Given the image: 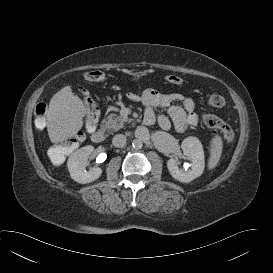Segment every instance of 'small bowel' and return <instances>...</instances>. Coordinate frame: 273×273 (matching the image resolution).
I'll use <instances>...</instances> for the list:
<instances>
[{"label":"small bowel","mask_w":273,"mask_h":273,"mask_svg":"<svg viewBox=\"0 0 273 273\" xmlns=\"http://www.w3.org/2000/svg\"><path fill=\"white\" fill-rule=\"evenodd\" d=\"M131 98H135L131 95ZM145 105L146 124H152L157 120L158 125L163 130H170L173 126L178 132H184L188 127L198 124V116L195 112V102L189 97L181 94H163L156 90L145 91L140 98ZM179 101L182 106L175 105ZM166 108L168 117L154 113L155 108Z\"/></svg>","instance_id":"small-bowel-1"}]
</instances>
